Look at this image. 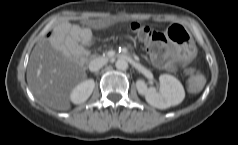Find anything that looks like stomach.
Here are the masks:
<instances>
[{
    "label": "stomach",
    "instance_id": "stomach-1",
    "mask_svg": "<svg viewBox=\"0 0 238 145\" xmlns=\"http://www.w3.org/2000/svg\"><path fill=\"white\" fill-rule=\"evenodd\" d=\"M166 36L184 58H192L199 51V44L194 35L177 21H170L167 24Z\"/></svg>",
    "mask_w": 238,
    "mask_h": 145
}]
</instances>
